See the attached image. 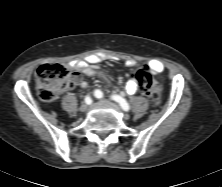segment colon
Here are the masks:
<instances>
[{"label": "colon", "mask_w": 222, "mask_h": 187, "mask_svg": "<svg viewBox=\"0 0 222 187\" xmlns=\"http://www.w3.org/2000/svg\"><path fill=\"white\" fill-rule=\"evenodd\" d=\"M36 76L38 94L45 101L55 100L60 93L73 85L76 77L68 66L58 62L42 64L38 68ZM136 78L143 94L150 103L158 105L161 101L160 84L150 72L144 69L137 71Z\"/></svg>", "instance_id": "obj_1"}]
</instances>
